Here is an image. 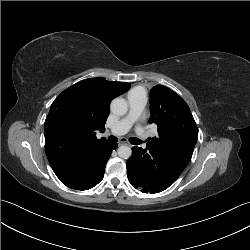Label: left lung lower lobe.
Returning <instances> with one entry per match:
<instances>
[{
  "instance_id": "1",
  "label": "left lung lower lobe",
  "mask_w": 250,
  "mask_h": 250,
  "mask_svg": "<svg viewBox=\"0 0 250 250\" xmlns=\"http://www.w3.org/2000/svg\"><path fill=\"white\" fill-rule=\"evenodd\" d=\"M173 144L156 148L149 143L145 149L132 148L127 161L130 184L144 193H158L168 188L182 173L191 158L176 154ZM192 157V156H191Z\"/></svg>"
}]
</instances>
